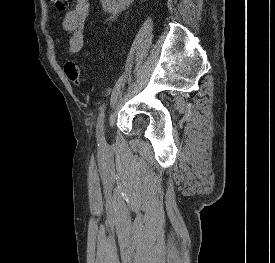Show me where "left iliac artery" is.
<instances>
[{
	"mask_svg": "<svg viewBox=\"0 0 275 263\" xmlns=\"http://www.w3.org/2000/svg\"><path fill=\"white\" fill-rule=\"evenodd\" d=\"M105 109L106 105H103L96 124V138L100 144H105V137H104V119H105Z\"/></svg>",
	"mask_w": 275,
	"mask_h": 263,
	"instance_id": "44dca946",
	"label": "left iliac artery"
}]
</instances>
